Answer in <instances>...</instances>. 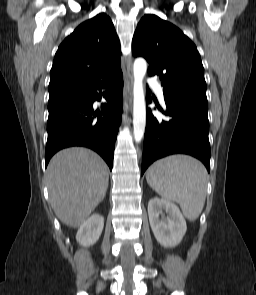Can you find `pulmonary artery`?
I'll return each mask as SVG.
<instances>
[{
    "label": "pulmonary artery",
    "mask_w": 256,
    "mask_h": 295,
    "mask_svg": "<svg viewBox=\"0 0 256 295\" xmlns=\"http://www.w3.org/2000/svg\"><path fill=\"white\" fill-rule=\"evenodd\" d=\"M148 83L157 92L160 101L164 103V92L162 86L154 78L148 79Z\"/></svg>",
    "instance_id": "1"
}]
</instances>
